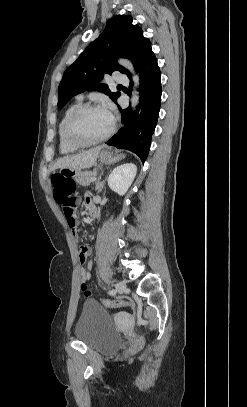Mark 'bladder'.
<instances>
[{"instance_id":"bladder-1","label":"bladder","mask_w":247,"mask_h":407,"mask_svg":"<svg viewBox=\"0 0 247 407\" xmlns=\"http://www.w3.org/2000/svg\"><path fill=\"white\" fill-rule=\"evenodd\" d=\"M74 333L79 342L104 354L117 351L124 339L105 309L93 299L85 301Z\"/></svg>"}]
</instances>
